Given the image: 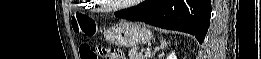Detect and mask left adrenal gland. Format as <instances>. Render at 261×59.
<instances>
[{
    "instance_id": "left-adrenal-gland-1",
    "label": "left adrenal gland",
    "mask_w": 261,
    "mask_h": 59,
    "mask_svg": "<svg viewBox=\"0 0 261 59\" xmlns=\"http://www.w3.org/2000/svg\"><path fill=\"white\" fill-rule=\"evenodd\" d=\"M168 45L166 40H161L160 45L154 49V52L152 53L151 59L155 56L156 52H158L160 49L165 48Z\"/></svg>"
}]
</instances>
